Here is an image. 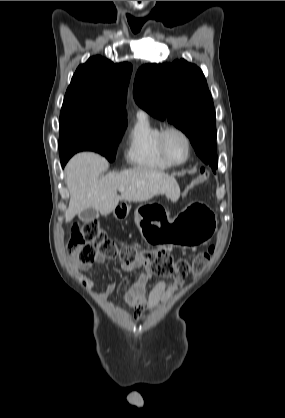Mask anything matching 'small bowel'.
Returning a JSON list of instances; mask_svg holds the SVG:
<instances>
[{
    "instance_id": "c3829d8e",
    "label": "small bowel",
    "mask_w": 285,
    "mask_h": 418,
    "mask_svg": "<svg viewBox=\"0 0 285 418\" xmlns=\"http://www.w3.org/2000/svg\"><path fill=\"white\" fill-rule=\"evenodd\" d=\"M106 261L104 255L98 254L95 259L96 264H103ZM74 271L79 274L88 273L93 266L83 265L74 257L69 258ZM121 267L128 273L134 274L133 282L124 290L123 298L127 306L133 309L135 318H140L142 313L147 310H153L157 304L170 297L178 289H180L184 282V278H178L173 281H159L153 289L146 295V287L149 283L152 274L151 266L148 261L140 260L133 263H126L121 261ZM87 286L92 288L95 284L94 279L86 277ZM115 282L110 283L103 293V297H107L115 290Z\"/></svg>"
}]
</instances>
